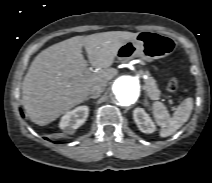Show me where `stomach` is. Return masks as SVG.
I'll return each instance as SVG.
<instances>
[{"label":"stomach","instance_id":"obj_1","mask_svg":"<svg viewBox=\"0 0 212 183\" xmlns=\"http://www.w3.org/2000/svg\"><path fill=\"white\" fill-rule=\"evenodd\" d=\"M177 47L174 38L154 31H141L133 40L127 41L117 53L120 62L134 57L151 62L172 54Z\"/></svg>","mask_w":212,"mask_h":183}]
</instances>
